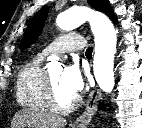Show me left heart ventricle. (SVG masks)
I'll return each mask as SVG.
<instances>
[{"mask_svg":"<svg viewBox=\"0 0 142 128\" xmlns=\"http://www.w3.org/2000/svg\"><path fill=\"white\" fill-rule=\"evenodd\" d=\"M63 70L62 68H57L49 73L55 94L57 102L62 105L66 106L68 105L72 99L75 97L72 94H70L61 84V76H62Z\"/></svg>","mask_w":142,"mask_h":128,"instance_id":"b2bd125f","label":"left heart ventricle"}]
</instances>
